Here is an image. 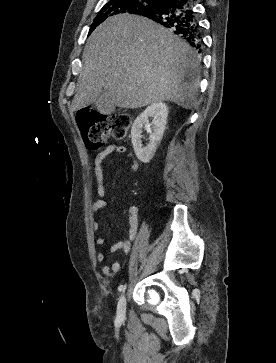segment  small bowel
Returning <instances> with one entry per match:
<instances>
[{
    "mask_svg": "<svg viewBox=\"0 0 276 363\" xmlns=\"http://www.w3.org/2000/svg\"><path fill=\"white\" fill-rule=\"evenodd\" d=\"M114 153L122 154L127 159L131 170H137L138 168V161L133 156V154L123 145L110 144L94 157L93 170L97 181V194H98V198L91 207V210L94 213H102L107 208L108 204L104 199L105 188H104L103 162L109 155ZM138 216H139V208L136 205L131 206L128 212V221H129L128 236L124 240H120L113 243L109 248V251L111 253H115L118 251H123L124 253L130 252L132 247V242L135 239L138 231ZM91 226L94 231H97L99 229V223L94 219L91 222ZM104 242L105 240L103 237H97L95 239V243L99 246L103 245ZM96 259L98 262H103L105 260V253L103 251H98L96 253ZM121 268L122 265L120 262H114L111 265H104L102 267V273L106 277H112L114 274L120 272Z\"/></svg>",
    "mask_w": 276,
    "mask_h": 363,
    "instance_id": "obj_1",
    "label": "small bowel"
}]
</instances>
